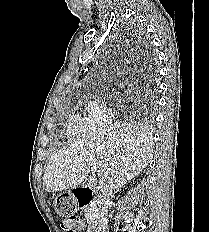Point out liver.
Returning <instances> with one entry per match:
<instances>
[{
  "instance_id": "1",
  "label": "liver",
  "mask_w": 209,
  "mask_h": 232,
  "mask_svg": "<svg viewBox=\"0 0 209 232\" xmlns=\"http://www.w3.org/2000/svg\"><path fill=\"white\" fill-rule=\"evenodd\" d=\"M152 157L153 141L142 127L115 125L51 155L43 185L46 192L75 189L95 167L99 180L90 179L86 185L108 194L143 171Z\"/></svg>"
}]
</instances>
